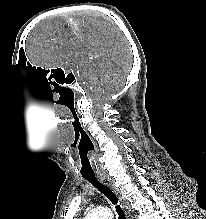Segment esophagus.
<instances>
[{
	"label": "esophagus",
	"mask_w": 206,
	"mask_h": 219,
	"mask_svg": "<svg viewBox=\"0 0 206 219\" xmlns=\"http://www.w3.org/2000/svg\"><path fill=\"white\" fill-rule=\"evenodd\" d=\"M98 179L105 185H107L118 197L120 204L125 212L127 219H133V212L130 208L129 202L122 196L119 188L115 185L112 178L107 174H99Z\"/></svg>",
	"instance_id": "1"
}]
</instances>
